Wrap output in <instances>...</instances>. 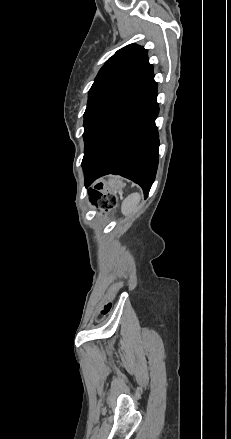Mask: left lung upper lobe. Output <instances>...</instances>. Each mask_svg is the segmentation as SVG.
<instances>
[{"label": "left lung upper lobe", "mask_w": 231, "mask_h": 439, "mask_svg": "<svg viewBox=\"0 0 231 439\" xmlns=\"http://www.w3.org/2000/svg\"><path fill=\"white\" fill-rule=\"evenodd\" d=\"M152 74L146 49L135 44L119 49L100 69L89 90L83 136Z\"/></svg>", "instance_id": "5c2ea615"}]
</instances>
